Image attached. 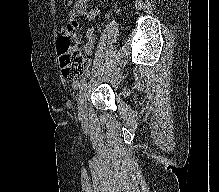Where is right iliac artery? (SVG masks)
<instances>
[{
    "label": "right iliac artery",
    "instance_id": "1",
    "mask_svg": "<svg viewBox=\"0 0 219 192\" xmlns=\"http://www.w3.org/2000/svg\"><path fill=\"white\" fill-rule=\"evenodd\" d=\"M87 78L84 77L80 82H76L74 83V88L76 90H80V94H81V90L83 89V87L85 86ZM81 96V95H80Z\"/></svg>",
    "mask_w": 219,
    "mask_h": 192
}]
</instances>
